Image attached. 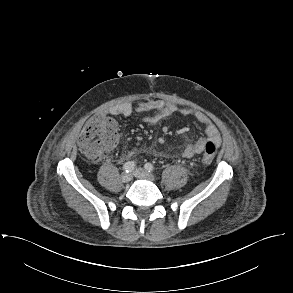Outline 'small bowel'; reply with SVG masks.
<instances>
[{"mask_svg":"<svg viewBox=\"0 0 293 293\" xmlns=\"http://www.w3.org/2000/svg\"><path fill=\"white\" fill-rule=\"evenodd\" d=\"M135 111L152 112L153 115L146 118L148 124L155 125L160 121L166 119L174 113L182 115H189L190 112L186 109H177L174 106L167 105L159 101H144L137 104L121 103L111 106L106 112V115L112 116H130ZM197 122L203 126L205 136L197 139L194 143L188 144L182 151V156L185 158H192L205 150L208 142H214L217 146L221 144V137L217 127L213 124L210 118L203 114L197 113L195 115ZM134 152H128L125 158L131 157Z\"/></svg>","mask_w":293,"mask_h":293,"instance_id":"small-bowel-1","label":"small bowel"}]
</instances>
